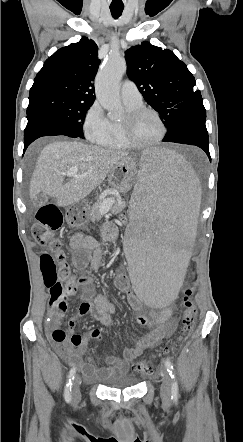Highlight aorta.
Wrapping results in <instances>:
<instances>
[{
  "instance_id": "762f6f07",
  "label": "aorta",
  "mask_w": 243,
  "mask_h": 442,
  "mask_svg": "<svg viewBox=\"0 0 243 442\" xmlns=\"http://www.w3.org/2000/svg\"><path fill=\"white\" fill-rule=\"evenodd\" d=\"M126 68V61L123 57L110 55L96 76V98L110 115H116L121 111L119 81L126 72Z\"/></svg>"
}]
</instances>
